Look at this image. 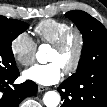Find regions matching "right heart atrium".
Masks as SVG:
<instances>
[{"label": "right heart atrium", "mask_w": 107, "mask_h": 107, "mask_svg": "<svg viewBox=\"0 0 107 107\" xmlns=\"http://www.w3.org/2000/svg\"><path fill=\"white\" fill-rule=\"evenodd\" d=\"M15 60L23 66H29L35 61L36 43L26 32L16 35L10 44Z\"/></svg>", "instance_id": "1"}]
</instances>
